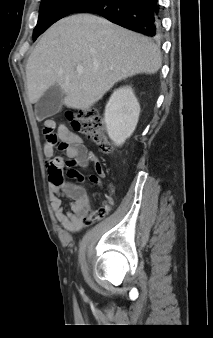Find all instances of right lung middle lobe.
<instances>
[{
	"label": "right lung middle lobe",
	"instance_id": "obj_1",
	"mask_svg": "<svg viewBox=\"0 0 213 338\" xmlns=\"http://www.w3.org/2000/svg\"><path fill=\"white\" fill-rule=\"evenodd\" d=\"M92 0H42L33 40L59 19L74 13L79 7Z\"/></svg>",
	"mask_w": 213,
	"mask_h": 338
}]
</instances>
